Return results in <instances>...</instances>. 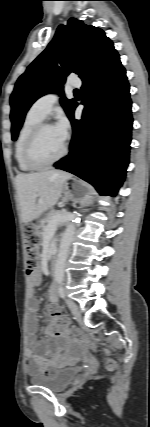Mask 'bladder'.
<instances>
[{"mask_svg":"<svg viewBox=\"0 0 150 427\" xmlns=\"http://www.w3.org/2000/svg\"><path fill=\"white\" fill-rule=\"evenodd\" d=\"M77 367H63L52 370L46 375L33 376L30 378L31 384L45 387L53 392L65 389L78 375Z\"/></svg>","mask_w":150,"mask_h":427,"instance_id":"bladder-1","label":"bladder"}]
</instances>
